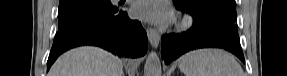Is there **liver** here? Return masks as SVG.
<instances>
[{"label":"liver","mask_w":287,"mask_h":76,"mask_svg":"<svg viewBox=\"0 0 287 76\" xmlns=\"http://www.w3.org/2000/svg\"><path fill=\"white\" fill-rule=\"evenodd\" d=\"M123 62L112 53L82 46L61 55L48 76H123Z\"/></svg>","instance_id":"obj_1"}]
</instances>
